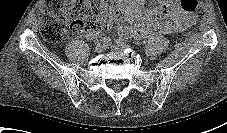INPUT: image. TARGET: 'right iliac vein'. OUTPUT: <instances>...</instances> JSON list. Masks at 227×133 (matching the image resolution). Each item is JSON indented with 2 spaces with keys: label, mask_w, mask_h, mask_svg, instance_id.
I'll return each mask as SVG.
<instances>
[{
  "label": "right iliac vein",
  "mask_w": 227,
  "mask_h": 133,
  "mask_svg": "<svg viewBox=\"0 0 227 133\" xmlns=\"http://www.w3.org/2000/svg\"><path fill=\"white\" fill-rule=\"evenodd\" d=\"M106 49V46L104 44H97L95 47V52L101 53Z\"/></svg>",
  "instance_id": "63e3f726"
}]
</instances>
